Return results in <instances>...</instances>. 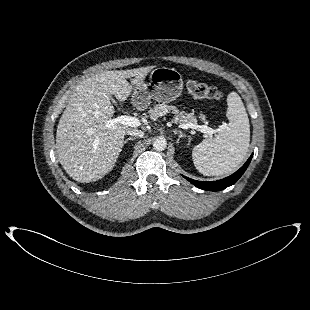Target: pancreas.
Listing matches in <instances>:
<instances>
[{
	"mask_svg": "<svg viewBox=\"0 0 310 310\" xmlns=\"http://www.w3.org/2000/svg\"><path fill=\"white\" fill-rule=\"evenodd\" d=\"M172 112L174 114L173 122L186 124V123H196L197 120L193 113H185L183 111H179L175 106L158 104L149 110V117L152 120H156L158 117L165 115L166 113Z\"/></svg>",
	"mask_w": 310,
	"mask_h": 310,
	"instance_id": "obj_1",
	"label": "pancreas"
}]
</instances>
